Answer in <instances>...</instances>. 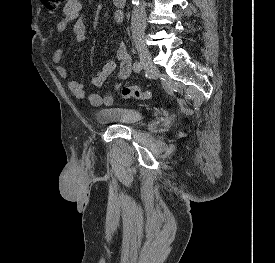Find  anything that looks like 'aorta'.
<instances>
[{
    "label": "aorta",
    "mask_w": 275,
    "mask_h": 263,
    "mask_svg": "<svg viewBox=\"0 0 275 263\" xmlns=\"http://www.w3.org/2000/svg\"><path fill=\"white\" fill-rule=\"evenodd\" d=\"M132 4H133L134 6L138 5V4H139V0H132Z\"/></svg>",
    "instance_id": "762f6f07"
}]
</instances>
